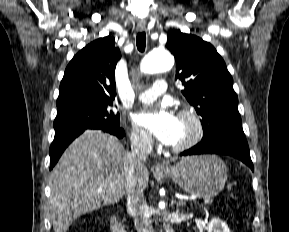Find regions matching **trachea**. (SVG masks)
Instances as JSON below:
<instances>
[{"label": "trachea", "mask_w": 289, "mask_h": 232, "mask_svg": "<svg viewBox=\"0 0 289 232\" xmlns=\"http://www.w3.org/2000/svg\"><path fill=\"white\" fill-rule=\"evenodd\" d=\"M136 45H137L138 51H140V52L145 51V47H146V34H145V32H141V33L137 34Z\"/></svg>", "instance_id": "trachea-1"}]
</instances>
